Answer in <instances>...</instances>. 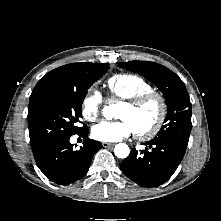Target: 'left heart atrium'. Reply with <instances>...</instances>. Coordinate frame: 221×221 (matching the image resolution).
Returning a JSON list of instances; mask_svg holds the SVG:
<instances>
[{"label": "left heart atrium", "instance_id": "39dd6f15", "mask_svg": "<svg viewBox=\"0 0 221 221\" xmlns=\"http://www.w3.org/2000/svg\"><path fill=\"white\" fill-rule=\"evenodd\" d=\"M134 132L131 123L125 119L103 121L93 126L91 130L93 138L101 142H117Z\"/></svg>", "mask_w": 221, "mask_h": 221}]
</instances>
